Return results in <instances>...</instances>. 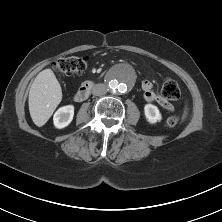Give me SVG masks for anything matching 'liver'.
<instances>
[{
  "instance_id": "obj_1",
  "label": "liver",
  "mask_w": 222,
  "mask_h": 222,
  "mask_svg": "<svg viewBox=\"0 0 222 222\" xmlns=\"http://www.w3.org/2000/svg\"><path fill=\"white\" fill-rule=\"evenodd\" d=\"M61 100L62 89L53 71H41L34 79L28 97L29 112L34 124L43 126Z\"/></svg>"
}]
</instances>
